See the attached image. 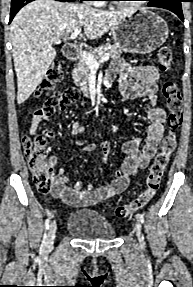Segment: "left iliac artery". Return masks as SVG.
<instances>
[{
	"instance_id": "44dca946",
	"label": "left iliac artery",
	"mask_w": 193,
	"mask_h": 287,
	"mask_svg": "<svg viewBox=\"0 0 193 287\" xmlns=\"http://www.w3.org/2000/svg\"><path fill=\"white\" fill-rule=\"evenodd\" d=\"M136 217H137V219H139V221H140L141 223H144V217H143L142 214H137Z\"/></svg>"
}]
</instances>
